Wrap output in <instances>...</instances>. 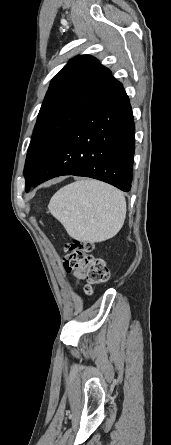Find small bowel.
Returning a JSON list of instances; mask_svg holds the SVG:
<instances>
[{"instance_id": "1", "label": "small bowel", "mask_w": 171, "mask_h": 445, "mask_svg": "<svg viewBox=\"0 0 171 445\" xmlns=\"http://www.w3.org/2000/svg\"><path fill=\"white\" fill-rule=\"evenodd\" d=\"M74 277L76 278L77 281H80L84 278V274L81 272H74Z\"/></svg>"}]
</instances>
